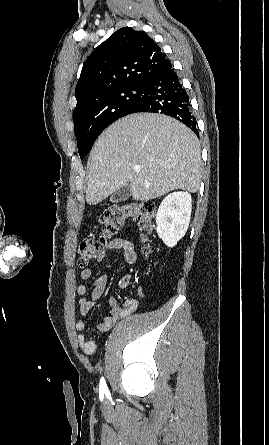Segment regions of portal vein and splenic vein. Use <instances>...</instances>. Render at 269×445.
Returning a JSON list of instances; mask_svg holds the SVG:
<instances>
[{
  "label": "portal vein and splenic vein",
  "instance_id": "1",
  "mask_svg": "<svg viewBox=\"0 0 269 445\" xmlns=\"http://www.w3.org/2000/svg\"><path fill=\"white\" fill-rule=\"evenodd\" d=\"M134 170H135L136 172H139V171H140V167L137 166V167L134 168Z\"/></svg>",
  "mask_w": 269,
  "mask_h": 445
}]
</instances>
